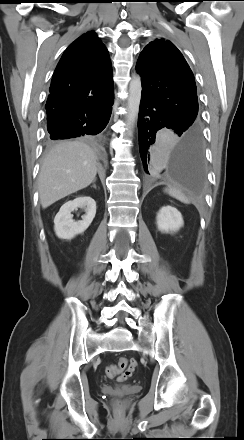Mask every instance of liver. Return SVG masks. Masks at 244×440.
<instances>
[{
    "label": "liver",
    "mask_w": 244,
    "mask_h": 440,
    "mask_svg": "<svg viewBox=\"0 0 244 440\" xmlns=\"http://www.w3.org/2000/svg\"><path fill=\"white\" fill-rule=\"evenodd\" d=\"M97 152L82 141H61L46 155L38 176L42 208L89 186L97 174Z\"/></svg>",
    "instance_id": "6515ba94"
}]
</instances>
